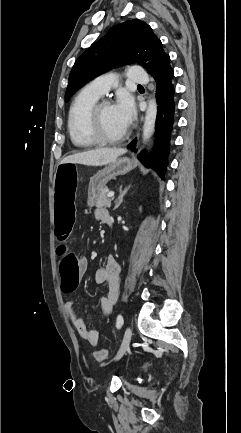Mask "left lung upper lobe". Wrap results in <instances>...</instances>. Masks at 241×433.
<instances>
[{"label": "left lung upper lobe", "mask_w": 241, "mask_h": 433, "mask_svg": "<svg viewBox=\"0 0 241 433\" xmlns=\"http://www.w3.org/2000/svg\"><path fill=\"white\" fill-rule=\"evenodd\" d=\"M139 63L153 78L170 67V57L149 25L128 20L111 28L75 62L65 93L70 98L83 84L123 64Z\"/></svg>", "instance_id": "obj_1"}]
</instances>
